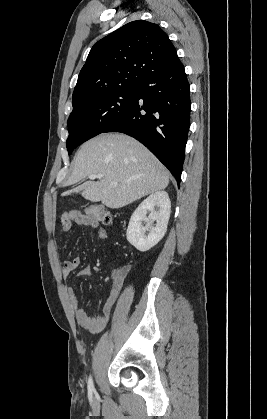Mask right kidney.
I'll list each match as a JSON object with an SVG mask.
<instances>
[{"label": "right kidney", "mask_w": 267, "mask_h": 419, "mask_svg": "<svg viewBox=\"0 0 267 419\" xmlns=\"http://www.w3.org/2000/svg\"><path fill=\"white\" fill-rule=\"evenodd\" d=\"M148 211L150 214L147 217ZM170 213L171 202L168 194L165 191L152 193L137 207L130 218L126 232L128 242L141 252L151 249L164 237ZM142 221L146 222L145 226H142ZM153 222H156L155 226H152Z\"/></svg>", "instance_id": "ca27d5eb"}]
</instances>
